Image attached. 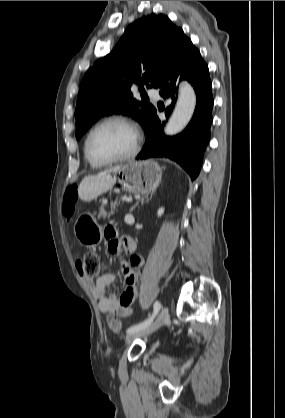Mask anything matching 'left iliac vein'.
Returning <instances> with one entry per match:
<instances>
[{
  "label": "left iliac vein",
  "instance_id": "obj_1",
  "mask_svg": "<svg viewBox=\"0 0 285 418\" xmlns=\"http://www.w3.org/2000/svg\"><path fill=\"white\" fill-rule=\"evenodd\" d=\"M169 319H170V317H169L168 308L163 307L161 309L159 315L157 316V318L152 323H150L148 326H146L145 328H143L141 330L135 331L133 333H129L126 337V343H130L137 338L146 337V336L152 334L154 331H156L158 328H160L163 324L168 322Z\"/></svg>",
  "mask_w": 285,
  "mask_h": 418
}]
</instances>
